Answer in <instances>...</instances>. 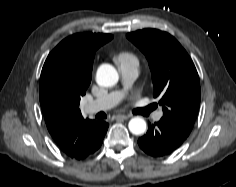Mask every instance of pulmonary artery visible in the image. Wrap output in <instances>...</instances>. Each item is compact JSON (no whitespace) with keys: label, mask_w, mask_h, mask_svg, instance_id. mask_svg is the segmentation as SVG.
<instances>
[{"label":"pulmonary artery","mask_w":236,"mask_h":187,"mask_svg":"<svg viewBox=\"0 0 236 187\" xmlns=\"http://www.w3.org/2000/svg\"><path fill=\"white\" fill-rule=\"evenodd\" d=\"M120 73L122 76L123 83L128 86L137 78L138 68L133 65L121 66ZM122 96L123 92L113 91L100 98L88 102L84 107V111L87 114H94L99 111L108 110L115 106L121 100ZM162 115V111H158L154 116L155 120H160Z\"/></svg>","instance_id":"1"}]
</instances>
